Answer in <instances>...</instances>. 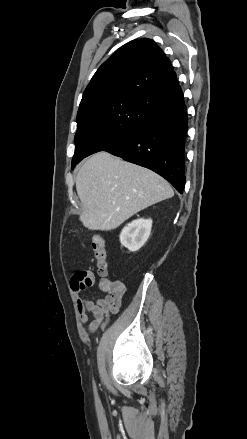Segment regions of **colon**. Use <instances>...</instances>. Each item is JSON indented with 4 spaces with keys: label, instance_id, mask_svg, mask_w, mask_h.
<instances>
[{
    "label": "colon",
    "instance_id": "5ec220e1",
    "mask_svg": "<svg viewBox=\"0 0 247 439\" xmlns=\"http://www.w3.org/2000/svg\"><path fill=\"white\" fill-rule=\"evenodd\" d=\"M90 247L94 269L99 276L105 277L107 275V251L103 238L98 234H94L91 238Z\"/></svg>",
    "mask_w": 247,
    "mask_h": 439
}]
</instances>
